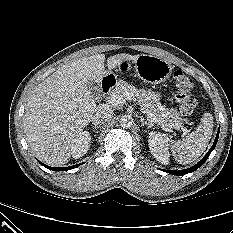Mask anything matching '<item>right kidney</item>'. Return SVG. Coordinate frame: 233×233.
I'll return each instance as SVG.
<instances>
[{
  "label": "right kidney",
  "mask_w": 233,
  "mask_h": 233,
  "mask_svg": "<svg viewBox=\"0 0 233 233\" xmlns=\"http://www.w3.org/2000/svg\"><path fill=\"white\" fill-rule=\"evenodd\" d=\"M90 144L91 136L88 131H82L78 133L70 144V151L72 157L74 159H78L84 154H86L90 148Z\"/></svg>",
  "instance_id": "obj_1"
}]
</instances>
